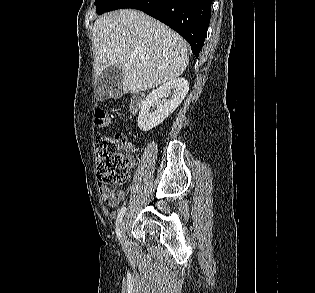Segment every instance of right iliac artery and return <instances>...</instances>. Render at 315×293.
Returning <instances> with one entry per match:
<instances>
[{"mask_svg": "<svg viewBox=\"0 0 315 293\" xmlns=\"http://www.w3.org/2000/svg\"><path fill=\"white\" fill-rule=\"evenodd\" d=\"M125 212H126V207H122L117 215V220H116V233H117V236L118 238L120 239L121 238V232L118 228V224L121 222L123 216L125 215Z\"/></svg>", "mask_w": 315, "mask_h": 293, "instance_id": "obj_1", "label": "right iliac artery"}]
</instances>
